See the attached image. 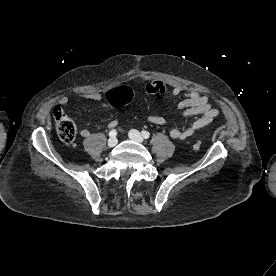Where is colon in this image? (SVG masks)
Wrapping results in <instances>:
<instances>
[{
	"label": "colon",
	"instance_id": "5ec220e1",
	"mask_svg": "<svg viewBox=\"0 0 276 276\" xmlns=\"http://www.w3.org/2000/svg\"><path fill=\"white\" fill-rule=\"evenodd\" d=\"M157 87L162 86L161 82L155 84ZM134 93L130 88H122L112 90L107 95L109 105L120 107L133 100ZM53 119L56 132L59 138L66 144L74 142L77 135V128L72 119L66 114L63 107L56 105L53 109ZM201 148V143L196 141L192 144V150L198 151Z\"/></svg>",
	"mask_w": 276,
	"mask_h": 276
}]
</instances>
